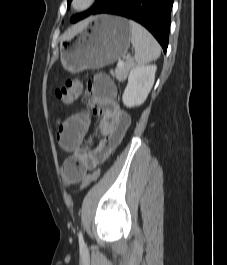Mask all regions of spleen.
I'll list each match as a JSON object with an SVG mask.
<instances>
[{"label": "spleen", "mask_w": 227, "mask_h": 265, "mask_svg": "<svg viewBox=\"0 0 227 265\" xmlns=\"http://www.w3.org/2000/svg\"><path fill=\"white\" fill-rule=\"evenodd\" d=\"M132 31L131 43L135 49V61L138 65H144L155 61L161 54V47L156 39L144 27L130 20Z\"/></svg>", "instance_id": "1"}]
</instances>
